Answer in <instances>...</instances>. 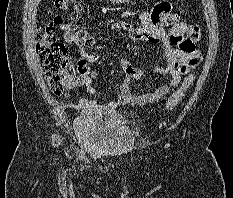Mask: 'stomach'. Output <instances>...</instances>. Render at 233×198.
I'll return each mask as SVG.
<instances>
[{
	"label": "stomach",
	"instance_id": "0dacf381",
	"mask_svg": "<svg viewBox=\"0 0 233 198\" xmlns=\"http://www.w3.org/2000/svg\"><path fill=\"white\" fill-rule=\"evenodd\" d=\"M110 2L112 3H117V4H120V3H126V2H129L131 0H109Z\"/></svg>",
	"mask_w": 233,
	"mask_h": 198
}]
</instances>
